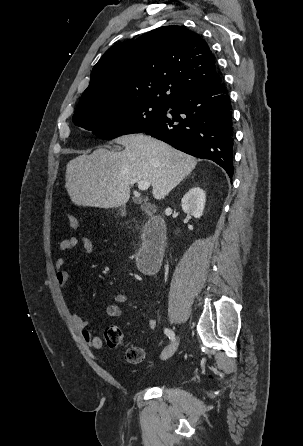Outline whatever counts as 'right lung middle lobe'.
<instances>
[{"mask_svg":"<svg viewBox=\"0 0 303 446\" xmlns=\"http://www.w3.org/2000/svg\"><path fill=\"white\" fill-rule=\"evenodd\" d=\"M169 108V105L144 100L103 105L74 114L73 122L102 139L110 140L124 134L143 132L163 117Z\"/></svg>","mask_w":303,"mask_h":446,"instance_id":"obj_1","label":"right lung middle lobe"}]
</instances>
